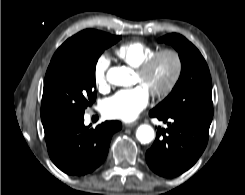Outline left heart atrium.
I'll return each mask as SVG.
<instances>
[{
	"mask_svg": "<svg viewBox=\"0 0 245 195\" xmlns=\"http://www.w3.org/2000/svg\"><path fill=\"white\" fill-rule=\"evenodd\" d=\"M149 102V92L138 85L130 89H122L102 102L101 110L110 119L130 122L146 108Z\"/></svg>",
	"mask_w": 245,
	"mask_h": 195,
	"instance_id": "1",
	"label": "left heart atrium"
}]
</instances>
